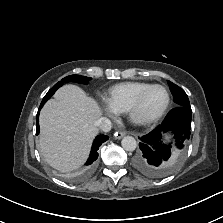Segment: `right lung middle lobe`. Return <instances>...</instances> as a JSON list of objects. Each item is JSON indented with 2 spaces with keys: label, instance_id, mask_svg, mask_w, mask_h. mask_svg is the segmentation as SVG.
I'll list each match as a JSON object with an SVG mask.
<instances>
[{
  "label": "right lung middle lobe",
  "instance_id": "right-lung-middle-lobe-1",
  "mask_svg": "<svg viewBox=\"0 0 223 223\" xmlns=\"http://www.w3.org/2000/svg\"><path fill=\"white\" fill-rule=\"evenodd\" d=\"M90 80H91V78L90 77H86V76H80V75H70V76H67V77L63 78L61 81H59L58 83H56L48 91V93L45 95V97L43 98V100H48L55 93V91L59 87H61L64 83H67V82H76V83H80V84H87Z\"/></svg>",
  "mask_w": 223,
  "mask_h": 223
}]
</instances>
